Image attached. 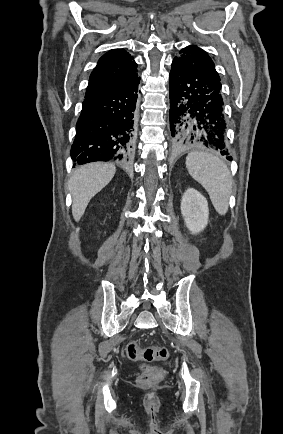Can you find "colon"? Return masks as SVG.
I'll use <instances>...</instances> for the list:
<instances>
[{
    "instance_id": "1",
    "label": "colon",
    "mask_w": 283,
    "mask_h": 434,
    "mask_svg": "<svg viewBox=\"0 0 283 434\" xmlns=\"http://www.w3.org/2000/svg\"><path fill=\"white\" fill-rule=\"evenodd\" d=\"M126 355L131 360H141L144 363L140 367L139 382L151 384L159 382L164 372L158 366H151L147 363L153 361H163L170 357V350L163 346H151L142 349L137 342L132 341L126 347Z\"/></svg>"
}]
</instances>
